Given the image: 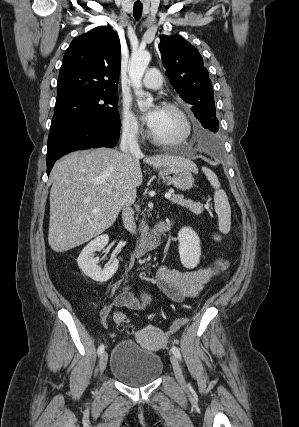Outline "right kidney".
<instances>
[{
    "mask_svg": "<svg viewBox=\"0 0 299 427\" xmlns=\"http://www.w3.org/2000/svg\"><path fill=\"white\" fill-rule=\"evenodd\" d=\"M108 241L109 237L106 234L96 237L84 247L77 258L78 266L82 272L97 282H106L111 279L119 266V261L114 259L111 264L102 269L98 266L99 258L94 257V253L101 251L108 244Z\"/></svg>",
    "mask_w": 299,
    "mask_h": 427,
    "instance_id": "ca27d5eb",
    "label": "right kidney"
}]
</instances>
